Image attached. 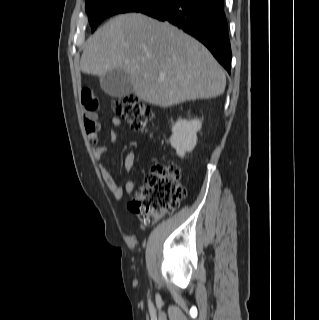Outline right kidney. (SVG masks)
<instances>
[{"instance_id": "1", "label": "right kidney", "mask_w": 319, "mask_h": 320, "mask_svg": "<svg viewBox=\"0 0 319 320\" xmlns=\"http://www.w3.org/2000/svg\"><path fill=\"white\" fill-rule=\"evenodd\" d=\"M201 126L202 123L198 119H179L172 126L170 144L179 157L183 158L186 152L194 149L197 143V132L200 131Z\"/></svg>"}]
</instances>
